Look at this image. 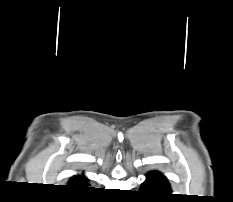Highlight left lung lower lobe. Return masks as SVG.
Here are the masks:
<instances>
[{
	"instance_id": "1",
	"label": "left lung lower lobe",
	"mask_w": 233,
	"mask_h": 202,
	"mask_svg": "<svg viewBox=\"0 0 233 202\" xmlns=\"http://www.w3.org/2000/svg\"><path fill=\"white\" fill-rule=\"evenodd\" d=\"M140 192L154 202H164L172 196L166 177L156 171L147 174V180L141 185Z\"/></svg>"
}]
</instances>
